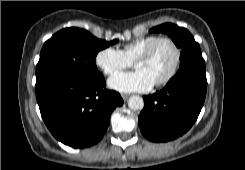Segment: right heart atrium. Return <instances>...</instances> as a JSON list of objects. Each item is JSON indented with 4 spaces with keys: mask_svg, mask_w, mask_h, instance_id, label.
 <instances>
[{
    "mask_svg": "<svg viewBox=\"0 0 245 170\" xmlns=\"http://www.w3.org/2000/svg\"><path fill=\"white\" fill-rule=\"evenodd\" d=\"M96 65L107 75H113L132 65L122 50L108 46L99 50L95 56Z\"/></svg>",
    "mask_w": 245,
    "mask_h": 170,
    "instance_id": "obj_1",
    "label": "right heart atrium"
}]
</instances>
